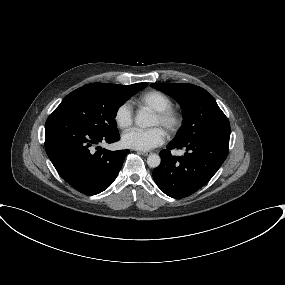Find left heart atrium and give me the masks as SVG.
<instances>
[{
  "instance_id": "39dd6f15",
  "label": "left heart atrium",
  "mask_w": 285,
  "mask_h": 285,
  "mask_svg": "<svg viewBox=\"0 0 285 285\" xmlns=\"http://www.w3.org/2000/svg\"><path fill=\"white\" fill-rule=\"evenodd\" d=\"M165 140V133L160 127L150 129H131L122 136L124 146L140 151L150 150L161 145Z\"/></svg>"
}]
</instances>
